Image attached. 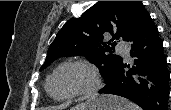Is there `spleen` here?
Segmentation results:
<instances>
[{
  "mask_svg": "<svg viewBox=\"0 0 171 110\" xmlns=\"http://www.w3.org/2000/svg\"><path fill=\"white\" fill-rule=\"evenodd\" d=\"M124 106H125L124 108L125 110H140V108L132 102L125 101Z\"/></svg>",
  "mask_w": 171,
  "mask_h": 110,
  "instance_id": "3e777b00",
  "label": "spleen"
}]
</instances>
